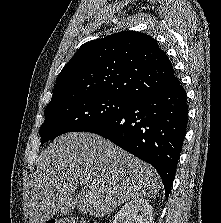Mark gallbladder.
<instances>
[{"label":"gallbladder","instance_id":"bac80fb5","mask_svg":"<svg viewBox=\"0 0 221 223\" xmlns=\"http://www.w3.org/2000/svg\"><path fill=\"white\" fill-rule=\"evenodd\" d=\"M74 200V198H71V201H73ZM72 210V208L71 207H68V211H71Z\"/></svg>","mask_w":221,"mask_h":223}]
</instances>
